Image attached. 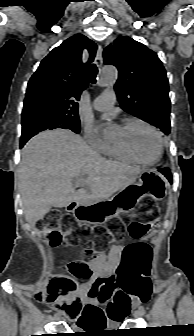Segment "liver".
<instances>
[{
    "label": "liver",
    "instance_id": "obj_1",
    "mask_svg": "<svg viewBox=\"0 0 194 336\" xmlns=\"http://www.w3.org/2000/svg\"><path fill=\"white\" fill-rule=\"evenodd\" d=\"M140 173L138 166L103 158L71 131L42 132L24 146L18 169L25 219L34 226L51 207L107 200L133 184ZM83 176L85 180L80 179Z\"/></svg>",
    "mask_w": 194,
    "mask_h": 336
}]
</instances>
